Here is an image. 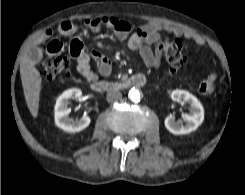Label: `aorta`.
<instances>
[{
	"label": "aorta",
	"instance_id": "aorta-1",
	"mask_svg": "<svg viewBox=\"0 0 245 195\" xmlns=\"http://www.w3.org/2000/svg\"><path fill=\"white\" fill-rule=\"evenodd\" d=\"M129 98H130L133 102H135V103L139 102V101H140V92H139L137 89L132 88V89L129 91Z\"/></svg>",
	"mask_w": 245,
	"mask_h": 195
}]
</instances>
